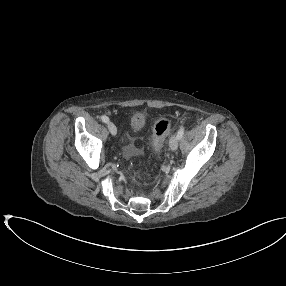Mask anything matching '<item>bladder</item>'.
<instances>
[{
  "label": "bladder",
  "mask_w": 286,
  "mask_h": 286,
  "mask_svg": "<svg viewBox=\"0 0 286 286\" xmlns=\"http://www.w3.org/2000/svg\"><path fill=\"white\" fill-rule=\"evenodd\" d=\"M132 129L139 130L144 124V118L140 115H133L130 119Z\"/></svg>",
  "instance_id": "31cf9c89"
}]
</instances>
